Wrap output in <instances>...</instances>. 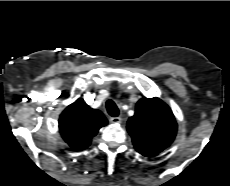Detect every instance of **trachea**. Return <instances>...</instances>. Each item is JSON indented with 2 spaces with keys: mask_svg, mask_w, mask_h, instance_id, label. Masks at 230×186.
<instances>
[{
  "mask_svg": "<svg viewBox=\"0 0 230 186\" xmlns=\"http://www.w3.org/2000/svg\"><path fill=\"white\" fill-rule=\"evenodd\" d=\"M107 112L112 117H117L119 115V109L114 101L108 100L106 102Z\"/></svg>",
  "mask_w": 230,
  "mask_h": 186,
  "instance_id": "1",
  "label": "trachea"
}]
</instances>
